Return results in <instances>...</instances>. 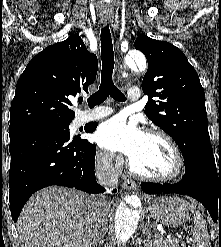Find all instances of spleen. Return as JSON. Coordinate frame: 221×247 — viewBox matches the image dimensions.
I'll return each instance as SVG.
<instances>
[{
    "instance_id": "3e777b00",
    "label": "spleen",
    "mask_w": 221,
    "mask_h": 247,
    "mask_svg": "<svg viewBox=\"0 0 221 247\" xmlns=\"http://www.w3.org/2000/svg\"><path fill=\"white\" fill-rule=\"evenodd\" d=\"M194 212V208L191 207ZM193 247H211L206 221L198 212H194Z\"/></svg>"
}]
</instances>
